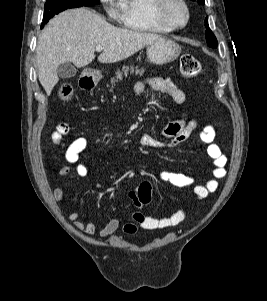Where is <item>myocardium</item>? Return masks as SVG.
<instances>
[{
	"mask_svg": "<svg viewBox=\"0 0 267 301\" xmlns=\"http://www.w3.org/2000/svg\"><path fill=\"white\" fill-rule=\"evenodd\" d=\"M173 4H179L184 11V21L177 23L170 15V8ZM156 14L160 21L171 29L184 28L190 19V11L185 0H157Z\"/></svg>",
	"mask_w": 267,
	"mask_h": 301,
	"instance_id": "f54148a6",
	"label": "myocardium"
}]
</instances>
